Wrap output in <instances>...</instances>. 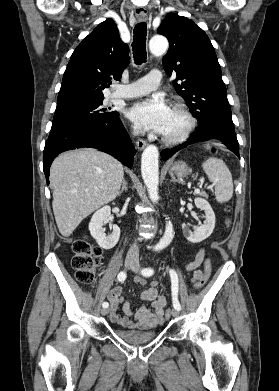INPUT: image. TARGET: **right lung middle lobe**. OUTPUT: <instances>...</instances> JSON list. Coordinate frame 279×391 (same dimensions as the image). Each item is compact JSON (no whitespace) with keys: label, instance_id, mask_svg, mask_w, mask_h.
Returning <instances> with one entry per match:
<instances>
[{"label":"right lung middle lobe","instance_id":"1","mask_svg":"<svg viewBox=\"0 0 279 391\" xmlns=\"http://www.w3.org/2000/svg\"><path fill=\"white\" fill-rule=\"evenodd\" d=\"M102 101L103 99L87 101L56 109L52 125L101 121L117 113L116 111H109L110 109L102 108Z\"/></svg>","mask_w":279,"mask_h":391}]
</instances>
